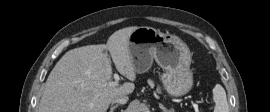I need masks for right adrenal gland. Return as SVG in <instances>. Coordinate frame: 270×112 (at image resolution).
<instances>
[{
    "label": "right adrenal gland",
    "instance_id": "1",
    "mask_svg": "<svg viewBox=\"0 0 270 112\" xmlns=\"http://www.w3.org/2000/svg\"><path fill=\"white\" fill-rule=\"evenodd\" d=\"M118 106H119L118 104L115 105V106H112V107L110 108L109 112H113Z\"/></svg>",
    "mask_w": 270,
    "mask_h": 112
}]
</instances>
